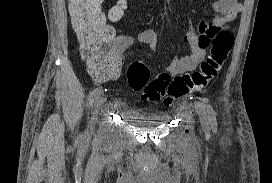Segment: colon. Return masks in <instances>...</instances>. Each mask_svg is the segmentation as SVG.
Here are the masks:
<instances>
[{
	"instance_id": "colon-1",
	"label": "colon",
	"mask_w": 272,
	"mask_h": 183,
	"mask_svg": "<svg viewBox=\"0 0 272 183\" xmlns=\"http://www.w3.org/2000/svg\"><path fill=\"white\" fill-rule=\"evenodd\" d=\"M103 1L69 0L71 22L79 42L81 57L93 77L100 79L105 78L109 71L119 64V56L111 44L113 33L101 10ZM125 5V0H119L110 10V20L121 19ZM209 40L210 54L195 72L173 77L163 73L155 79H150L148 67L140 61H135L127 71L129 86L139 92L144 101L155 103L163 99L165 105L191 92L204 90L220 72L234 41L229 31L213 34Z\"/></svg>"
}]
</instances>
